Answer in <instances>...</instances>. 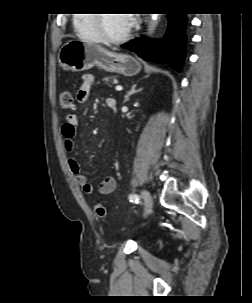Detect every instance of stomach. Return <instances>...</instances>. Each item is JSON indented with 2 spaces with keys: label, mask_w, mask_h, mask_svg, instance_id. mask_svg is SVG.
Returning a JSON list of instances; mask_svg holds the SVG:
<instances>
[{
  "label": "stomach",
  "mask_w": 252,
  "mask_h": 303,
  "mask_svg": "<svg viewBox=\"0 0 252 303\" xmlns=\"http://www.w3.org/2000/svg\"><path fill=\"white\" fill-rule=\"evenodd\" d=\"M59 64L63 69L83 71L98 66L108 72L131 77L141 71L140 62L127 54L110 52L94 43L69 40L60 49Z\"/></svg>",
  "instance_id": "obj_1"
}]
</instances>
